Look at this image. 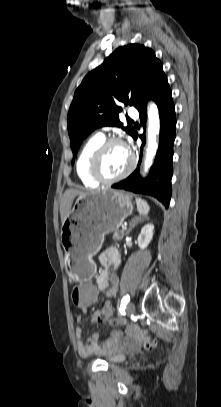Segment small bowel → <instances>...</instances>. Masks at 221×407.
I'll return each instance as SVG.
<instances>
[{
  "label": "small bowel",
  "instance_id": "1",
  "mask_svg": "<svg viewBox=\"0 0 221 407\" xmlns=\"http://www.w3.org/2000/svg\"><path fill=\"white\" fill-rule=\"evenodd\" d=\"M99 263L101 265V269L98 271L95 278V291H97L98 295L103 294L107 298H113L116 295L118 288V276L116 273V270L120 264V254L118 250L115 247H109L105 249L99 256ZM110 269H112V271H110ZM104 305H110V303L107 302ZM101 309L98 305H93L91 307V312L94 314L92 318V323L94 325H99L101 323V318L99 316H96L102 313ZM82 312L85 313L86 311ZM77 321L80 322L81 317H78ZM107 322L111 324L110 321ZM75 339L78 353L81 356H90L93 354H97L102 350L111 352L117 349L115 336L112 339L108 340L103 347H101L98 343V334H92L88 338V340L85 341L83 339V332L81 327H77L75 329Z\"/></svg>",
  "mask_w": 221,
  "mask_h": 407
}]
</instances>
